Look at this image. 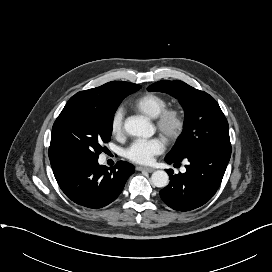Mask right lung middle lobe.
I'll return each mask as SVG.
<instances>
[{"label": "right lung middle lobe", "instance_id": "dd1d6c3e", "mask_svg": "<svg viewBox=\"0 0 272 272\" xmlns=\"http://www.w3.org/2000/svg\"><path fill=\"white\" fill-rule=\"evenodd\" d=\"M133 84L123 98L138 91ZM121 101L103 108L75 106L62 110L51 134V164L84 162L98 159L102 145L110 141L114 113Z\"/></svg>", "mask_w": 272, "mask_h": 272}]
</instances>
